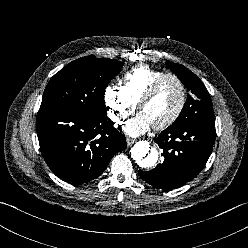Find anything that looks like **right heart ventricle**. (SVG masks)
<instances>
[{
    "instance_id": "e07e8e85",
    "label": "right heart ventricle",
    "mask_w": 248,
    "mask_h": 248,
    "mask_svg": "<svg viewBox=\"0 0 248 248\" xmlns=\"http://www.w3.org/2000/svg\"><path fill=\"white\" fill-rule=\"evenodd\" d=\"M162 74H164L163 71L147 65L134 67L124 74L122 78V88L128 98L134 104H138L150 84Z\"/></svg>"
}]
</instances>
